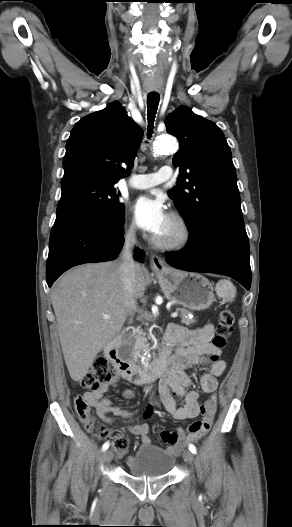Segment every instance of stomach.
I'll return each mask as SVG.
<instances>
[{
	"mask_svg": "<svg viewBox=\"0 0 292 527\" xmlns=\"http://www.w3.org/2000/svg\"><path fill=\"white\" fill-rule=\"evenodd\" d=\"M167 299L190 310H205L215 301L213 284L203 275L166 268L156 272Z\"/></svg>",
	"mask_w": 292,
	"mask_h": 527,
	"instance_id": "obj_1",
	"label": "stomach"
}]
</instances>
